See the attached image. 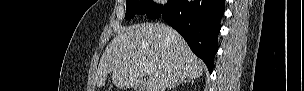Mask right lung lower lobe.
I'll return each mask as SVG.
<instances>
[{
	"label": "right lung lower lobe",
	"mask_w": 304,
	"mask_h": 91,
	"mask_svg": "<svg viewBox=\"0 0 304 91\" xmlns=\"http://www.w3.org/2000/svg\"><path fill=\"white\" fill-rule=\"evenodd\" d=\"M223 13L224 0H169L160 17L182 35L211 73Z\"/></svg>",
	"instance_id": "right-lung-lower-lobe-1"
}]
</instances>
